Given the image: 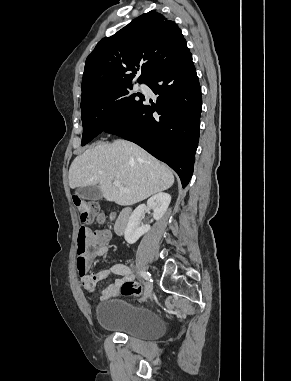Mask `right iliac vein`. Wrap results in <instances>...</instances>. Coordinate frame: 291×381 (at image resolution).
Returning a JSON list of instances; mask_svg holds the SVG:
<instances>
[{
    "instance_id": "obj_1",
    "label": "right iliac vein",
    "mask_w": 291,
    "mask_h": 381,
    "mask_svg": "<svg viewBox=\"0 0 291 381\" xmlns=\"http://www.w3.org/2000/svg\"><path fill=\"white\" fill-rule=\"evenodd\" d=\"M152 294V284H147L146 287H145V292H144V295L142 297V300H146L147 298H149Z\"/></svg>"
}]
</instances>
